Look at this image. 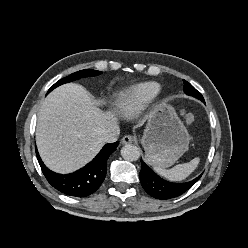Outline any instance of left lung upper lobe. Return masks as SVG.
Instances as JSON below:
<instances>
[{
	"mask_svg": "<svg viewBox=\"0 0 248 248\" xmlns=\"http://www.w3.org/2000/svg\"><path fill=\"white\" fill-rule=\"evenodd\" d=\"M183 83H184V92H185L187 95L196 97V98H198L199 100H201L202 102L205 103L204 98H203L202 94H201L199 91H197V90H196L190 83H188L187 81L183 80Z\"/></svg>",
	"mask_w": 248,
	"mask_h": 248,
	"instance_id": "obj_1",
	"label": "left lung upper lobe"
}]
</instances>
